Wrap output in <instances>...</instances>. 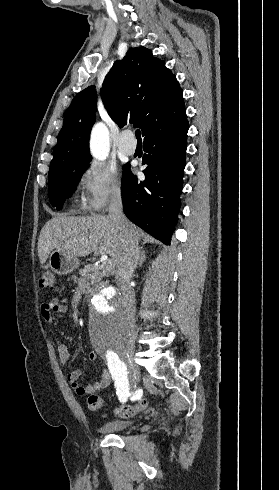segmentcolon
<instances>
[{
  "label": "colon",
  "mask_w": 279,
  "mask_h": 490,
  "mask_svg": "<svg viewBox=\"0 0 279 490\" xmlns=\"http://www.w3.org/2000/svg\"><path fill=\"white\" fill-rule=\"evenodd\" d=\"M40 285L43 288L53 289L56 286V274L51 270L43 272L40 278ZM103 398L100 395L93 394L88 398L87 407L90 412L98 413L103 406ZM147 406L145 400L139 401L134 404H123L114 408V414L118 418H127L136 415L140 411H143Z\"/></svg>",
  "instance_id": "1"
}]
</instances>
